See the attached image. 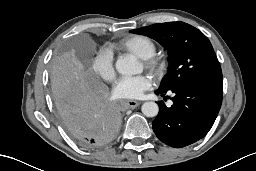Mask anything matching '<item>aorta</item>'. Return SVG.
<instances>
[{
    "mask_svg": "<svg viewBox=\"0 0 256 171\" xmlns=\"http://www.w3.org/2000/svg\"><path fill=\"white\" fill-rule=\"evenodd\" d=\"M118 73L126 76H132L141 73L142 66L133 56H122L115 63ZM142 113L146 117H155L159 112L157 103L153 101L145 102L141 107Z\"/></svg>",
    "mask_w": 256,
    "mask_h": 171,
    "instance_id": "1",
    "label": "aorta"
}]
</instances>
